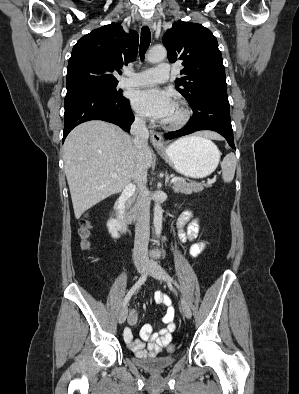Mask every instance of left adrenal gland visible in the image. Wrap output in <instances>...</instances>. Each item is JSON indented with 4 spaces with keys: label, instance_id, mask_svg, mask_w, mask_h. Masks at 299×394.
<instances>
[{
    "label": "left adrenal gland",
    "instance_id": "obj_1",
    "mask_svg": "<svg viewBox=\"0 0 299 394\" xmlns=\"http://www.w3.org/2000/svg\"><path fill=\"white\" fill-rule=\"evenodd\" d=\"M168 181H169V178H167V180H166V184L168 183Z\"/></svg>",
    "mask_w": 299,
    "mask_h": 394
}]
</instances>
